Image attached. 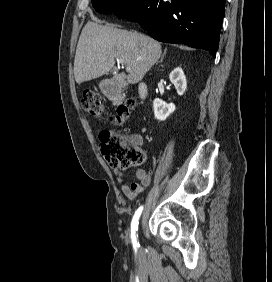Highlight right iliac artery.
Here are the masks:
<instances>
[{
  "instance_id": "obj_1",
  "label": "right iliac artery",
  "mask_w": 272,
  "mask_h": 282,
  "mask_svg": "<svg viewBox=\"0 0 272 282\" xmlns=\"http://www.w3.org/2000/svg\"><path fill=\"white\" fill-rule=\"evenodd\" d=\"M143 210V206H140L137 211L134 214V217L132 219L131 222V239H132V243L134 248H138L139 247V243L137 242V236H136V231H137V227H138V220L140 218V215L142 213Z\"/></svg>"
}]
</instances>
